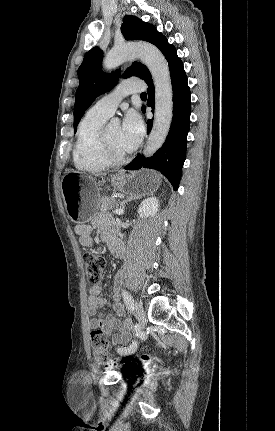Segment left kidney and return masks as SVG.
<instances>
[{
  "mask_svg": "<svg viewBox=\"0 0 275 431\" xmlns=\"http://www.w3.org/2000/svg\"><path fill=\"white\" fill-rule=\"evenodd\" d=\"M159 211V201L156 197L143 200L138 208L140 218L154 217Z\"/></svg>",
  "mask_w": 275,
  "mask_h": 431,
  "instance_id": "obj_1",
  "label": "left kidney"
}]
</instances>
